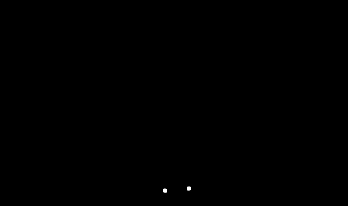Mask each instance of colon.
Here are the masks:
<instances>
[{
	"label": "colon",
	"mask_w": 348,
	"mask_h": 206,
	"mask_svg": "<svg viewBox=\"0 0 348 206\" xmlns=\"http://www.w3.org/2000/svg\"><path fill=\"white\" fill-rule=\"evenodd\" d=\"M248 71H246V74ZM250 79H248L249 83L247 85H240L238 89V102L244 100L245 97L251 95L258 86L259 75L258 73L249 74Z\"/></svg>",
	"instance_id": "5ec220e1"
}]
</instances>
